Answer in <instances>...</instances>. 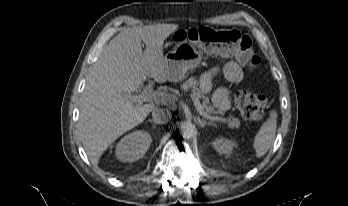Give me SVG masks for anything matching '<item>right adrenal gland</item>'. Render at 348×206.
<instances>
[{
    "instance_id": "1",
    "label": "right adrenal gland",
    "mask_w": 348,
    "mask_h": 206,
    "mask_svg": "<svg viewBox=\"0 0 348 206\" xmlns=\"http://www.w3.org/2000/svg\"><path fill=\"white\" fill-rule=\"evenodd\" d=\"M148 121L151 122V123H153V124H154L153 127H155L156 122H155L153 119H148Z\"/></svg>"
}]
</instances>
